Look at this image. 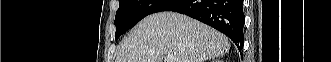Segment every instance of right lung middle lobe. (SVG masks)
I'll return each mask as SVG.
<instances>
[{
  "instance_id": "obj_1",
  "label": "right lung middle lobe",
  "mask_w": 331,
  "mask_h": 62,
  "mask_svg": "<svg viewBox=\"0 0 331 62\" xmlns=\"http://www.w3.org/2000/svg\"><path fill=\"white\" fill-rule=\"evenodd\" d=\"M176 0H119V9L116 12L115 38L136 25L149 14L162 11Z\"/></svg>"
}]
</instances>
